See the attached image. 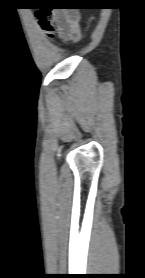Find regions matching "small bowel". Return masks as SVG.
I'll list each match as a JSON object with an SVG mask.
<instances>
[{
	"label": "small bowel",
	"instance_id": "c3829d8e",
	"mask_svg": "<svg viewBox=\"0 0 145 278\" xmlns=\"http://www.w3.org/2000/svg\"><path fill=\"white\" fill-rule=\"evenodd\" d=\"M71 16H73L72 13L63 11L57 12V32L59 37L63 40L78 41L81 35L79 25L77 24V27L74 30H69L64 26V23H66Z\"/></svg>",
	"mask_w": 145,
	"mask_h": 278
}]
</instances>
